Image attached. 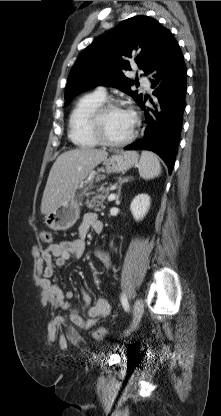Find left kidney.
<instances>
[{"label":"left kidney","instance_id":"5707ae66","mask_svg":"<svg viewBox=\"0 0 221 416\" xmlns=\"http://www.w3.org/2000/svg\"><path fill=\"white\" fill-rule=\"evenodd\" d=\"M150 208V197L147 194L137 195L130 205L131 213L136 221L144 218Z\"/></svg>","mask_w":221,"mask_h":416}]
</instances>
